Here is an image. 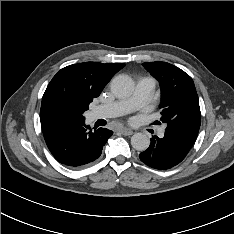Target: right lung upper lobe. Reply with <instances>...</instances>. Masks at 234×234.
<instances>
[{
	"mask_svg": "<svg viewBox=\"0 0 234 234\" xmlns=\"http://www.w3.org/2000/svg\"><path fill=\"white\" fill-rule=\"evenodd\" d=\"M123 63L84 62L62 68L51 80L43 97L58 94L78 104L89 106L98 97Z\"/></svg>",
	"mask_w": 234,
	"mask_h": 234,
	"instance_id": "1",
	"label": "right lung upper lobe"
}]
</instances>
